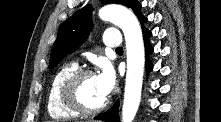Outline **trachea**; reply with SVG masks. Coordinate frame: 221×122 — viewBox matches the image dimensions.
Instances as JSON below:
<instances>
[{"mask_svg": "<svg viewBox=\"0 0 221 122\" xmlns=\"http://www.w3.org/2000/svg\"><path fill=\"white\" fill-rule=\"evenodd\" d=\"M116 50H123V48L122 47H118Z\"/></svg>", "mask_w": 221, "mask_h": 122, "instance_id": "obj_1", "label": "trachea"}]
</instances>
